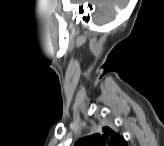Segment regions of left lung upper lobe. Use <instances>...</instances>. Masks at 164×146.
<instances>
[{
    "mask_svg": "<svg viewBox=\"0 0 164 146\" xmlns=\"http://www.w3.org/2000/svg\"><path fill=\"white\" fill-rule=\"evenodd\" d=\"M96 144L127 146L124 138L118 132L108 127L103 128L99 133L79 139L75 146H95Z\"/></svg>",
    "mask_w": 164,
    "mask_h": 146,
    "instance_id": "5c2ea615",
    "label": "left lung upper lobe"
}]
</instances>
